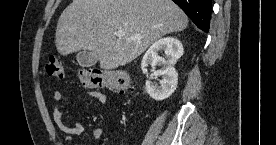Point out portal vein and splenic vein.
Listing matches in <instances>:
<instances>
[{"label": "portal vein and splenic vein", "mask_w": 276, "mask_h": 145, "mask_svg": "<svg viewBox=\"0 0 276 145\" xmlns=\"http://www.w3.org/2000/svg\"><path fill=\"white\" fill-rule=\"evenodd\" d=\"M116 36L117 37H123L124 36V33L121 31V30H119V31H117L116 32ZM130 39H132V40H139L140 38L139 37H131Z\"/></svg>", "instance_id": "portal-vein-and-splenic-vein-1"}]
</instances>
